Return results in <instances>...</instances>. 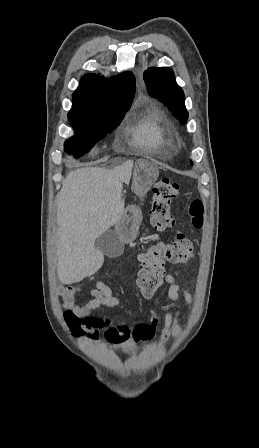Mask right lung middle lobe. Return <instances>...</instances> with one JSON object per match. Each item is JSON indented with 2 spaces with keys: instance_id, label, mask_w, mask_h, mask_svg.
<instances>
[{
  "instance_id": "dd1d6c3e",
  "label": "right lung middle lobe",
  "mask_w": 259,
  "mask_h": 448,
  "mask_svg": "<svg viewBox=\"0 0 259 448\" xmlns=\"http://www.w3.org/2000/svg\"><path fill=\"white\" fill-rule=\"evenodd\" d=\"M128 109L68 115L75 134L66 140L65 151L76 158L89 152L95 143L117 127Z\"/></svg>"
}]
</instances>
